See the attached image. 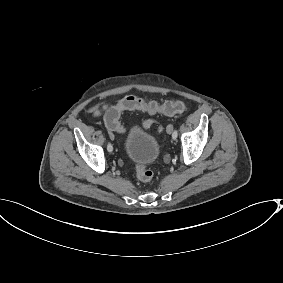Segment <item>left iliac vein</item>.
Wrapping results in <instances>:
<instances>
[{"instance_id":"obj_1","label":"left iliac vein","mask_w":283,"mask_h":283,"mask_svg":"<svg viewBox=\"0 0 283 283\" xmlns=\"http://www.w3.org/2000/svg\"><path fill=\"white\" fill-rule=\"evenodd\" d=\"M172 131H173V126H172V125H169V126L167 127V133L171 134Z\"/></svg>"}]
</instances>
